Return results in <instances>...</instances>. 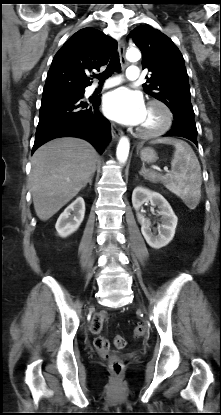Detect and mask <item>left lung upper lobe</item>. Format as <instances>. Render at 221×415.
Here are the masks:
<instances>
[{
  "label": "left lung upper lobe",
  "instance_id": "obj_1",
  "mask_svg": "<svg viewBox=\"0 0 221 415\" xmlns=\"http://www.w3.org/2000/svg\"><path fill=\"white\" fill-rule=\"evenodd\" d=\"M130 36L142 52L143 69L151 72L144 91L165 103L173 114L193 112L184 58L173 41L148 25L135 28Z\"/></svg>",
  "mask_w": 221,
  "mask_h": 415
}]
</instances>
